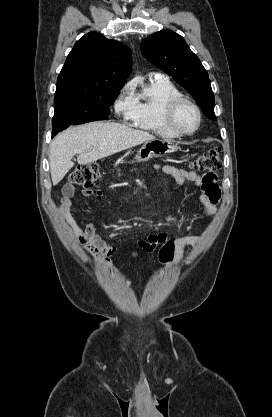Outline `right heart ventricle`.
Here are the masks:
<instances>
[{
  "label": "right heart ventricle",
  "instance_id": "1",
  "mask_svg": "<svg viewBox=\"0 0 272 417\" xmlns=\"http://www.w3.org/2000/svg\"><path fill=\"white\" fill-rule=\"evenodd\" d=\"M181 95L180 90L169 79L162 76L150 78L132 97L130 124L163 138L177 137L164 123V110L170 99Z\"/></svg>",
  "mask_w": 272,
  "mask_h": 417
}]
</instances>
